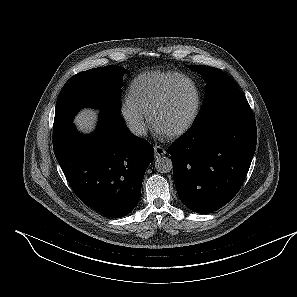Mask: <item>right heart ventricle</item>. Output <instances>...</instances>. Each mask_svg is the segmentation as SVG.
Returning a JSON list of instances; mask_svg holds the SVG:
<instances>
[{
  "label": "right heart ventricle",
  "mask_w": 297,
  "mask_h": 297,
  "mask_svg": "<svg viewBox=\"0 0 297 297\" xmlns=\"http://www.w3.org/2000/svg\"><path fill=\"white\" fill-rule=\"evenodd\" d=\"M175 72L149 71L137 76L129 87V99L145 114L162 95L166 86L177 76Z\"/></svg>",
  "instance_id": "e07e8e85"
}]
</instances>
